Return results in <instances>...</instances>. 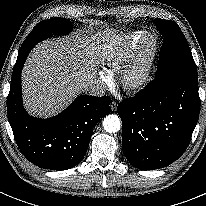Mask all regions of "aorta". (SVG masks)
Masks as SVG:
<instances>
[{"mask_svg":"<svg viewBox=\"0 0 206 206\" xmlns=\"http://www.w3.org/2000/svg\"><path fill=\"white\" fill-rule=\"evenodd\" d=\"M121 120L115 114L107 115L103 120V128L108 133H116L120 130Z\"/></svg>","mask_w":206,"mask_h":206,"instance_id":"aorta-1","label":"aorta"}]
</instances>
